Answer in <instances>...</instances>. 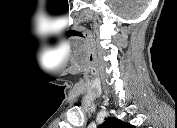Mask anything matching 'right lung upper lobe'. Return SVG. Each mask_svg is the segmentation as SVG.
Wrapping results in <instances>:
<instances>
[{
  "label": "right lung upper lobe",
  "instance_id": "1",
  "mask_svg": "<svg viewBox=\"0 0 177 128\" xmlns=\"http://www.w3.org/2000/svg\"><path fill=\"white\" fill-rule=\"evenodd\" d=\"M101 128H132L133 126L129 123L122 122L115 117L107 118L103 124L100 125Z\"/></svg>",
  "mask_w": 177,
  "mask_h": 128
}]
</instances>
